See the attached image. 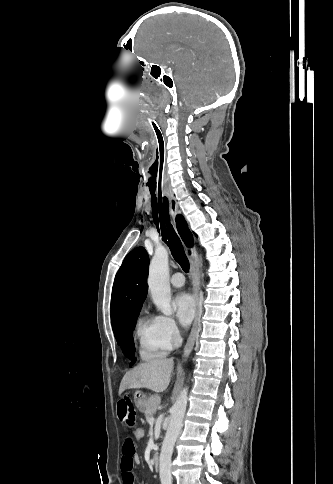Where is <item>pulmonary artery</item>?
Listing matches in <instances>:
<instances>
[{
	"label": "pulmonary artery",
	"mask_w": 333,
	"mask_h": 484,
	"mask_svg": "<svg viewBox=\"0 0 333 484\" xmlns=\"http://www.w3.org/2000/svg\"><path fill=\"white\" fill-rule=\"evenodd\" d=\"M170 282L174 287L180 288L184 285L185 279L181 272H175L171 275Z\"/></svg>",
	"instance_id": "1"
}]
</instances>
